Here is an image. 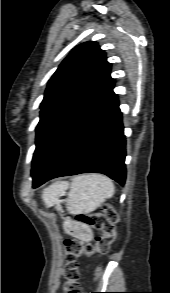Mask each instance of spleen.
Instances as JSON below:
<instances>
[{
    "label": "spleen",
    "instance_id": "spleen-1",
    "mask_svg": "<svg viewBox=\"0 0 170 293\" xmlns=\"http://www.w3.org/2000/svg\"><path fill=\"white\" fill-rule=\"evenodd\" d=\"M57 184L50 187L51 192L62 191ZM114 184L110 178L101 174H82L71 183L66 209L70 214H87L101 206L114 194Z\"/></svg>",
    "mask_w": 170,
    "mask_h": 293
}]
</instances>
